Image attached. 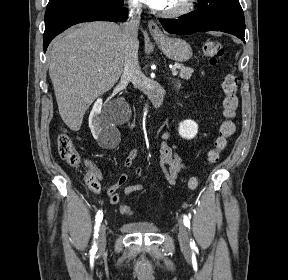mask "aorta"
<instances>
[{"instance_id":"obj_1","label":"aorta","mask_w":288,"mask_h":280,"mask_svg":"<svg viewBox=\"0 0 288 280\" xmlns=\"http://www.w3.org/2000/svg\"><path fill=\"white\" fill-rule=\"evenodd\" d=\"M141 114H142V116H147L148 113H147V111H142ZM141 124H142V126H147L148 123H147V121H142Z\"/></svg>"}]
</instances>
